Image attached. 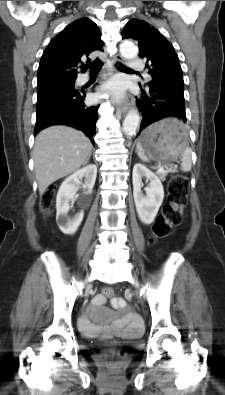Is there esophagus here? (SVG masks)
<instances>
[{"mask_svg": "<svg viewBox=\"0 0 225 395\" xmlns=\"http://www.w3.org/2000/svg\"><path fill=\"white\" fill-rule=\"evenodd\" d=\"M122 62V57L120 55H116L113 60H112V66L114 70H116L119 67V64ZM133 102V99H129L125 101L123 104H118L117 106V111L121 114H125L128 109L130 108L131 103Z\"/></svg>", "mask_w": 225, "mask_h": 395, "instance_id": "obj_1", "label": "esophagus"}]
</instances>
